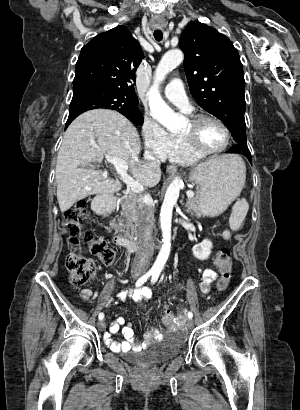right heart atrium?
I'll return each mask as SVG.
<instances>
[{"label":"right heart atrium","instance_id":"right-heart-atrium-1","mask_svg":"<svg viewBox=\"0 0 300 410\" xmlns=\"http://www.w3.org/2000/svg\"><path fill=\"white\" fill-rule=\"evenodd\" d=\"M141 132L146 153L164 159L173 145V136L148 115L144 116Z\"/></svg>","mask_w":300,"mask_h":410}]
</instances>
